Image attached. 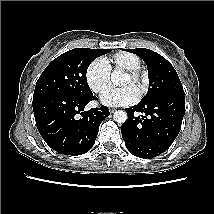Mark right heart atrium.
Here are the masks:
<instances>
[{
	"mask_svg": "<svg viewBox=\"0 0 214 214\" xmlns=\"http://www.w3.org/2000/svg\"><path fill=\"white\" fill-rule=\"evenodd\" d=\"M85 80L94 93L102 94L109 88L110 70L103 59H95L87 66Z\"/></svg>",
	"mask_w": 214,
	"mask_h": 214,
	"instance_id": "d8ad5b80",
	"label": "right heart atrium"
}]
</instances>
